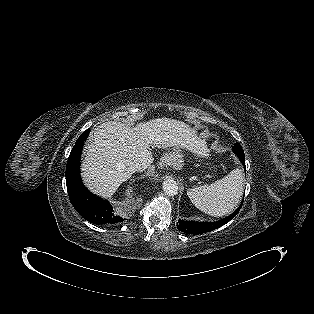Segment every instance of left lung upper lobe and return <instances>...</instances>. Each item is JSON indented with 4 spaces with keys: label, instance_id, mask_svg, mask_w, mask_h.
<instances>
[{
    "label": "left lung upper lobe",
    "instance_id": "obj_1",
    "mask_svg": "<svg viewBox=\"0 0 314 314\" xmlns=\"http://www.w3.org/2000/svg\"><path fill=\"white\" fill-rule=\"evenodd\" d=\"M233 151L237 156L244 155V151L238 142H236L235 145L233 146Z\"/></svg>",
    "mask_w": 314,
    "mask_h": 314
}]
</instances>
